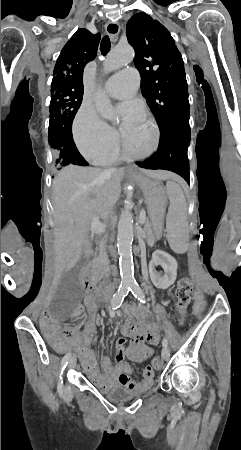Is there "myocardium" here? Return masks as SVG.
Instances as JSON below:
<instances>
[{
  "instance_id": "obj_1",
  "label": "myocardium",
  "mask_w": 241,
  "mask_h": 450,
  "mask_svg": "<svg viewBox=\"0 0 241 450\" xmlns=\"http://www.w3.org/2000/svg\"><path fill=\"white\" fill-rule=\"evenodd\" d=\"M150 125H151V127L154 128V127H156L157 124H156V122L153 121V122H151ZM158 135H159V130H153V137H152V140H150V142H149L150 145H152V148H149V149H148V152L145 153V156H146V157H149V158L152 157V155H153V154H152L153 149H157L158 146H157V144H155V143L158 142V140H159V139H158ZM121 147H123V146H121ZM121 155H123V154H121ZM143 155H144V154H143ZM141 156H142V153H141ZM135 161H136V162H139L140 159H139V160H135Z\"/></svg>"
}]
</instances>
